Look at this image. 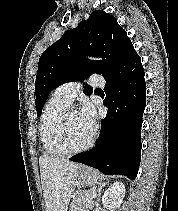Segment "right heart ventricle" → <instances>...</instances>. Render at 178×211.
Segmentation results:
<instances>
[{"label": "right heart ventricle", "mask_w": 178, "mask_h": 211, "mask_svg": "<svg viewBox=\"0 0 178 211\" xmlns=\"http://www.w3.org/2000/svg\"><path fill=\"white\" fill-rule=\"evenodd\" d=\"M68 106L69 104L54 92L43 111L40 123V138L44 150L49 155L62 156L65 154L59 145L58 138L62 116L68 110Z\"/></svg>", "instance_id": "1"}]
</instances>
